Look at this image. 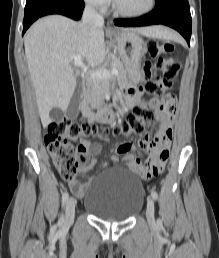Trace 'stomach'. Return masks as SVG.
<instances>
[{"label": "stomach", "instance_id": "obj_1", "mask_svg": "<svg viewBox=\"0 0 219 258\" xmlns=\"http://www.w3.org/2000/svg\"><path fill=\"white\" fill-rule=\"evenodd\" d=\"M118 52L125 63L128 79L132 83L141 80V59L146 53L143 39L133 30L114 34Z\"/></svg>", "mask_w": 219, "mask_h": 258}]
</instances>
